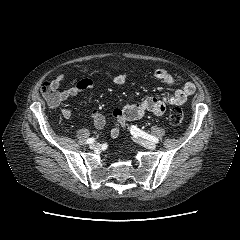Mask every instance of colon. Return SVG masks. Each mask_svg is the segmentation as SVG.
Segmentation results:
<instances>
[{
	"instance_id": "1",
	"label": "colon",
	"mask_w": 240,
	"mask_h": 240,
	"mask_svg": "<svg viewBox=\"0 0 240 240\" xmlns=\"http://www.w3.org/2000/svg\"><path fill=\"white\" fill-rule=\"evenodd\" d=\"M42 93L51 106H58V97L49 83L43 84ZM168 120L172 125H181L185 120V113L180 108H174L170 111L168 115Z\"/></svg>"
}]
</instances>
